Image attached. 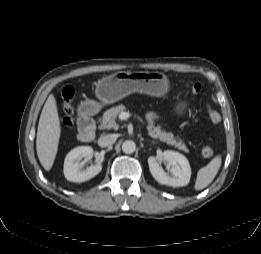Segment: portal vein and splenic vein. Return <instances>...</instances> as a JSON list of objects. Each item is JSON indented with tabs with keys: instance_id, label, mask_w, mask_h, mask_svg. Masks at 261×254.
<instances>
[{
	"instance_id": "obj_1",
	"label": "portal vein and splenic vein",
	"mask_w": 261,
	"mask_h": 254,
	"mask_svg": "<svg viewBox=\"0 0 261 254\" xmlns=\"http://www.w3.org/2000/svg\"><path fill=\"white\" fill-rule=\"evenodd\" d=\"M129 117L127 112H121L119 115L120 120H126Z\"/></svg>"
}]
</instances>
